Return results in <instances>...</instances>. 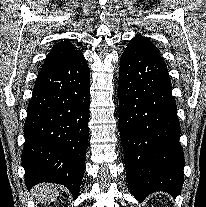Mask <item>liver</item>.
<instances>
[{
	"instance_id": "obj_1",
	"label": "liver",
	"mask_w": 206,
	"mask_h": 207,
	"mask_svg": "<svg viewBox=\"0 0 206 207\" xmlns=\"http://www.w3.org/2000/svg\"><path fill=\"white\" fill-rule=\"evenodd\" d=\"M59 190L53 184H38L33 188V196L41 203L52 202L56 200Z\"/></svg>"
}]
</instances>
